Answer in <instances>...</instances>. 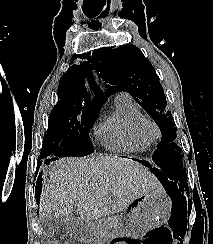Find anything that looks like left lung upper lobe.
Segmentation results:
<instances>
[{
    "mask_svg": "<svg viewBox=\"0 0 213 244\" xmlns=\"http://www.w3.org/2000/svg\"><path fill=\"white\" fill-rule=\"evenodd\" d=\"M96 69L108 88L106 98L116 92L126 91L154 119L161 130L162 141L153 159L166 163L169 178L177 188H187L182 149L174 142L177 128L171 112L166 111V96L151 62L135 45H123L116 49H103Z\"/></svg>",
    "mask_w": 213,
    "mask_h": 244,
    "instance_id": "obj_1",
    "label": "left lung upper lobe"
}]
</instances>
